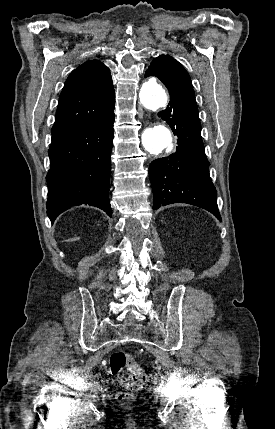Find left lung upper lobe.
I'll use <instances>...</instances> for the list:
<instances>
[{
    "label": "left lung upper lobe",
    "mask_w": 275,
    "mask_h": 429,
    "mask_svg": "<svg viewBox=\"0 0 275 429\" xmlns=\"http://www.w3.org/2000/svg\"><path fill=\"white\" fill-rule=\"evenodd\" d=\"M145 76L158 77L168 88L172 87H189L193 91L191 79L184 67L174 58L167 55H160L155 58ZM194 92V91H193Z\"/></svg>",
    "instance_id": "5c2ea615"
}]
</instances>
